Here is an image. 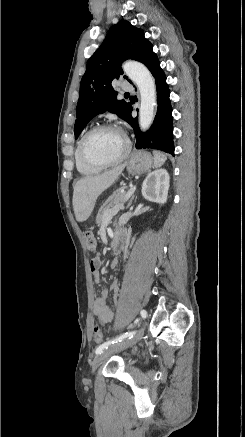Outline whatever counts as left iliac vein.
<instances>
[{"label": "left iliac vein", "mask_w": 245, "mask_h": 437, "mask_svg": "<svg viewBox=\"0 0 245 437\" xmlns=\"http://www.w3.org/2000/svg\"><path fill=\"white\" fill-rule=\"evenodd\" d=\"M144 335V328L140 327L139 330L132 338H128L127 340L121 341L116 345L104 350L102 353L98 354L92 362V372H95L99 365L108 358L111 354L123 350L127 347L133 346L137 342L140 341L142 336Z\"/></svg>", "instance_id": "4c4485c4"}]
</instances>
